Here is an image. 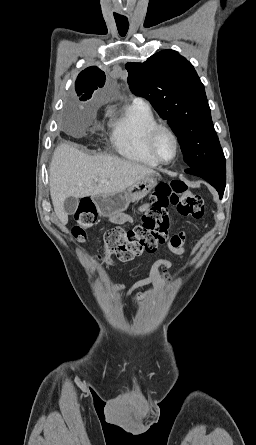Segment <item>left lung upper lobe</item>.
<instances>
[{"mask_svg":"<svg viewBox=\"0 0 256 445\" xmlns=\"http://www.w3.org/2000/svg\"><path fill=\"white\" fill-rule=\"evenodd\" d=\"M131 91L145 97L177 135L189 167L223 163L204 85L193 65L173 50H163L144 63H127Z\"/></svg>","mask_w":256,"mask_h":445,"instance_id":"left-lung-upper-lobe-1","label":"left lung upper lobe"}]
</instances>
